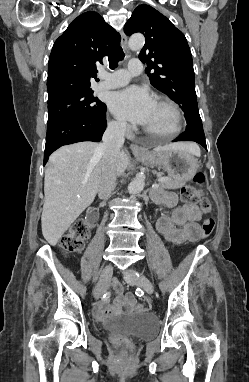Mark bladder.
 Segmentation results:
<instances>
[{
	"instance_id": "31cf9c89",
	"label": "bladder",
	"mask_w": 249,
	"mask_h": 382,
	"mask_svg": "<svg viewBox=\"0 0 249 382\" xmlns=\"http://www.w3.org/2000/svg\"><path fill=\"white\" fill-rule=\"evenodd\" d=\"M101 330L117 332L141 339L154 337L158 331V320L149 313H137L109 317L100 325Z\"/></svg>"
}]
</instances>
